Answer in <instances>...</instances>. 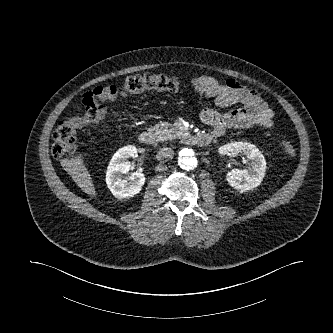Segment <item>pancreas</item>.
Returning a JSON list of instances; mask_svg holds the SVG:
<instances>
[{"mask_svg": "<svg viewBox=\"0 0 333 333\" xmlns=\"http://www.w3.org/2000/svg\"><path fill=\"white\" fill-rule=\"evenodd\" d=\"M154 129L158 135V139L162 141L180 137L179 129L168 122H161L160 124H157Z\"/></svg>", "mask_w": 333, "mask_h": 333, "instance_id": "pancreas-1", "label": "pancreas"}]
</instances>
